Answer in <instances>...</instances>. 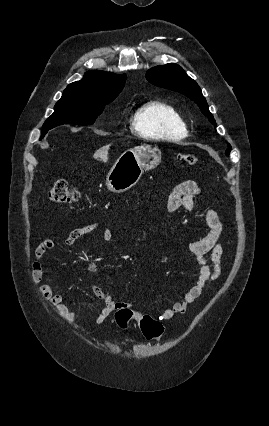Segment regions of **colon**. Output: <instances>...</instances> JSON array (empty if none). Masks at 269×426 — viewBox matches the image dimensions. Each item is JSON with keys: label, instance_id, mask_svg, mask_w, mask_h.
I'll return each mask as SVG.
<instances>
[{"label": "colon", "instance_id": "colon-1", "mask_svg": "<svg viewBox=\"0 0 269 426\" xmlns=\"http://www.w3.org/2000/svg\"><path fill=\"white\" fill-rule=\"evenodd\" d=\"M181 161L188 166H196L198 159L190 153H182ZM78 192L66 181L57 180L49 190V198L56 204H64L77 200ZM134 312L128 307H120L115 314L117 324L126 328L131 320H133ZM141 332L147 339L158 340L163 334V325L160 321L152 318L149 315H143L139 319Z\"/></svg>", "mask_w": 269, "mask_h": 426}]
</instances>
